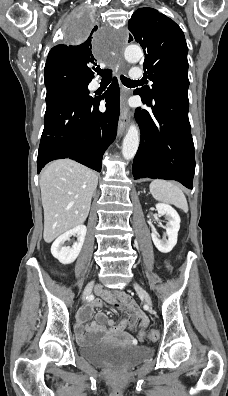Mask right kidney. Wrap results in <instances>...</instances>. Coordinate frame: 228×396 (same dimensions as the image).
<instances>
[{
    "mask_svg": "<svg viewBox=\"0 0 228 396\" xmlns=\"http://www.w3.org/2000/svg\"><path fill=\"white\" fill-rule=\"evenodd\" d=\"M86 231V226L79 225L59 236L51 246L52 255L64 265L73 263L82 249ZM72 236H76L77 241L72 247L64 246L65 241L69 240Z\"/></svg>",
    "mask_w": 228,
    "mask_h": 396,
    "instance_id": "obj_1",
    "label": "right kidney"
}]
</instances>
